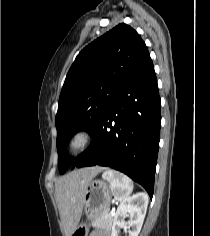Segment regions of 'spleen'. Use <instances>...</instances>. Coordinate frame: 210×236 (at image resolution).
I'll use <instances>...</instances> for the list:
<instances>
[{
    "mask_svg": "<svg viewBox=\"0 0 210 236\" xmlns=\"http://www.w3.org/2000/svg\"><path fill=\"white\" fill-rule=\"evenodd\" d=\"M102 178L109 181L110 188L118 201H124L133 191V182L122 173L108 169L102 174Z\"/></svg>",
    "mask_w": 210,
    "mask_h": 236,
    "instance_id": "spleen-1",
    "label": "spleen"
}]
</instances>
